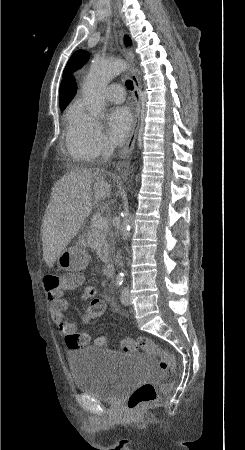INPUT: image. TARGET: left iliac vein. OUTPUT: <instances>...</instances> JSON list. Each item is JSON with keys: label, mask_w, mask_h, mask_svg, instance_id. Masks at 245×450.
Wrapping results in <instances>:
<instances>
[{"label": "left iliac vein", "mask_w": 245, "mask_h": 450, "mask_svg": "<svg viewBox=\"0 0 245 450\" xmlns=\"http://www.w3.org/2000/svg\"><path fill=\"white\" fill-rule=\"evenodd\" d=\"M130 302H131V300H130V290H129V287H125L122 290V293H121V303L124 306H128V305H130Z\"/></svg>", "instance_id": "1"}]
</instances>
